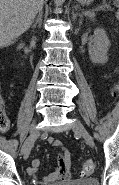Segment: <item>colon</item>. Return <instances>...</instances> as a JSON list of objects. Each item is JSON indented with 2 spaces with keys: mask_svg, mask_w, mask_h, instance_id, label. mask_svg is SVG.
Listing matches in <instances>:
<instances>
[{
  "mask_svg": "<svg viewBox=\"0 0 119 185\" xmlns=\"http://www.w3.org/2000/svg\"><path fill=\"white\" fill-rule=\"evenodd\" d=\"M117 15H119V12H117ZM118 90V85H115L114 91ZM9 128V120L2 111V108L0 107V130L1 131H7ZM94 171V164L91 161L84 162L80 167V173L82 176H88L92 174Z\"/></svg>",
  "mask_w": 119,
  "mask_h": 185,
  "instance_id": "colon-1",
  "label": "colon"
}]
</instances>
